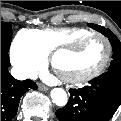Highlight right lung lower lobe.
Segmentation results:
<instances>
[{
    "mask_svg": "<svg viewBox=\"0 0 121 121\" xmlns=\"http://www.w3.org/2000/svg\"><path fill=\"white\" fill-rule=\"evenodd\" d=\"M10 66L7 52L1 51V121H11L18 109L20 98L29 90L37 89L35 82L18 81L8 72Z\"/></svg>",
    "mask_w": 121,
    "mask_h": 121,
    "instance_id": "1",
    "label": "right lung lower lobe"
}]
</instances>
